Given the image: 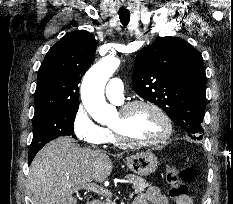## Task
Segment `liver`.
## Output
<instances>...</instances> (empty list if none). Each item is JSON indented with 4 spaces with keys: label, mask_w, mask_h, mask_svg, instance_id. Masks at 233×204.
I'll use <instances>...</instances> for the list:
<instances>
[{
    "label": "liver",
    "mask_w": 233,
    "mask_h": 204,
    "mask_svg": "<svg viewBox=\"0 0 233 204\" xmlns=\"http://www.w3.org/2000/svg\"><path fill=\"white\" fill-rule=\"evenodd\" d=\"M112 168L106 153L82 148L72 137H58L31 163L28 182L33 204H77L74 189L104 182Z\"/></svg>",
    "instance_id": "6515ba94"
}]
</instances>
